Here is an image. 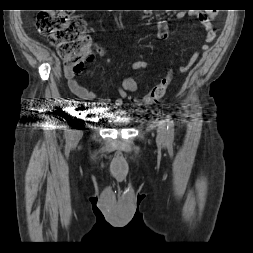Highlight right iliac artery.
<instances>
[{
  "instance_id": "82829eb1",
  "label": "right iliac artery",
  "mask_w": 253,
  "mask_h": 253,
  "mask_svg": "<svg viewBox=\"0 0 253 253\" xmlns=\"http://www.w3.org/2000/svg\"><path fill=\"white\" fill-rule=\"evenodd\" d=\"M73 123V114L72 112H69L68 114V118L64 124V138L70 140L71 139V134H72V129H71V125Z\"/></svg>"
}]
</instances>
